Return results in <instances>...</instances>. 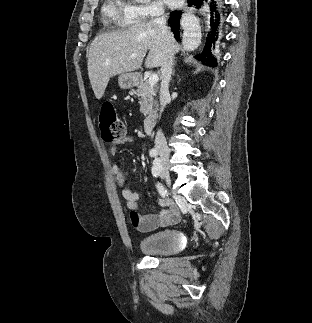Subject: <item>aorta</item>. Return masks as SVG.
Instances as JSON below:
<instances>
[{"label": "aorta", "instance_id": "aorta-1", "mask_svg": "<svg viewBox=\"0 0 312 323\" xmlns=\"http://www.w3.org/2000/svg\"><path fill=\"white\" fill-rule=\"evenodd\" d=\"M182 44L187 52H193L201 44V34L197 30H185Z\"/></svg>", "mask_w": 312, "mask_h": 323}]
</instances>
